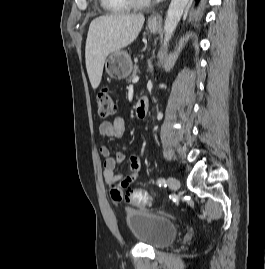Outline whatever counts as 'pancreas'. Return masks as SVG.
<instances>
[{"label": "pancreas", "instance_id": "1", "mask_svg": "<svg viewBox=\"0 0 265 269\" xmlns=\"http://www.w3.org/2000/svg\"><path fill=\"white\" fill-rule=\"evenodd\" d=\"M139 69H138V66L137 65H134L133 69H132V73L131 75L129 76V81H131L134 77L137 76V73H138Z\"/></svg>", "mask_w": 265, "mask_h": 269}]
</instances>
